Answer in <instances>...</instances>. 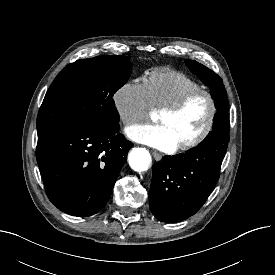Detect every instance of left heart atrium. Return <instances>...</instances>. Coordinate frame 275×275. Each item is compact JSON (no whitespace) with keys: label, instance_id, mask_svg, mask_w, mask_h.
<instances>
[{"label":"left heart atrium","instance_id":"obj_1","mask_svg":"<svg viewBox=\"0 0 275 275\" xmlns=\"http://www.w3.org/2000/svg\"><path fill=\"white\" fill-rule=\"evenodd\" d=\"M126 133L134 141L163 151H172L178 146L172 132L161 123L135 125L129 127Z\"/></svg>","mask_w":275,"mask_h":275}]
</instances>
